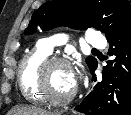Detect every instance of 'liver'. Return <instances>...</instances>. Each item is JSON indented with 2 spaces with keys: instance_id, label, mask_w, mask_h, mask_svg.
Segmentation results:
<instances>
[{
  "instance_id": "obj_1",
  "label": "liver",
  "mask_w": 131,
  "mask_h": 115,
  "mask_svg": "<svg viewBox=\"0 0 131 115\" xmlns=\"http://www.w3.org/2000/svg\"><path fill=\"white\" fill-rule=\"evenodd\" d=\"M13 113L15 115H52L50 112L44 111L40 108L29 106L17 107Z\"/></svg>"
}]
</instances>
